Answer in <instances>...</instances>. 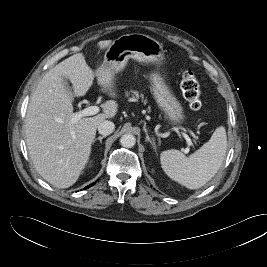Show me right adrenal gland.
<instances>
[{
  "label": "right adrenal gland",
  "mask_w": 267,
  "mask_h": 267,
  "mask_svg": "<svg viewBox=\"0 0 267 267\" xmlns=\"http://www.w3.org/2000/svg\"><path fill=\"white\" fill-rule=\"evenodd\" d=\"M106 138V136H99L98 138L94 139L93 143H95L97 140L100 141V143H102V139Z\"/></svg>",
  "instance_id": "obj_1"
}]
</instances>
